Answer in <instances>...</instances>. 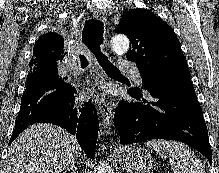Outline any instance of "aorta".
I'll return each mask as SVG.
<instances>
[{
	"label": "aorta",
	"instance_id": "1",
	"mask_svg": "<svg viewBox=\"0 0 219 173\" xmlns=\"http://www.w3.org/2000/svg\"><path fill=\"white\" fill-rule=\"evenodd\" d=\"M110 46L117 54H125L129 50V39L123 34H116L112 37ZM97 173H114V169L107 162L100 161L97 165Z\"/></svg>",
	"mask_w": 219,
	"mask_h": 173
}]
</instances>
